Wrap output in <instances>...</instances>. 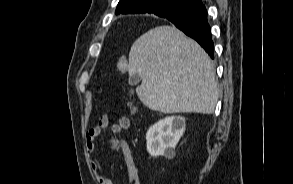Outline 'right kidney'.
<instances>
[{
  "mask_svg": "<svg viewBox=\"0 0 293 184\" xmlns=\"http://www.w3.org/2000/svg\"><path fill=\"white\" fill-rule=\"evenodd\" d=\"M185 131V118L166 117L149 128L146 134L148 153L153 156H175V147Z\"/></svg>",
  "mask_w": 293,
  "mask_h": 184,
  "instance_id": "1",
  "label": "right kidney"
}]
</instances>
